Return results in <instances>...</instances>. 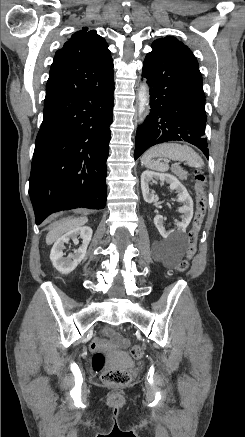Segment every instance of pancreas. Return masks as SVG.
I'll return each mask as SVG.
<instances>
[{
  "label": "pancreas",
  "mask_w": 245,
  "mask_h": 437,
  "mask_svg": "<svg viewBox=\"0 0 245 437\" xmlns=\"http://www.w3.org/2000/svg\"><path fill=\"white\" fill-rule=\"evenodd\" d=\"M173 172L181 179V180H186L187 179V172H185L184 170H182L181 168H174Z\"/></svg>",
  "instance_id": "cf45deb5"
}]
</instances>
